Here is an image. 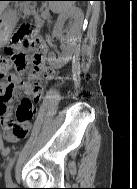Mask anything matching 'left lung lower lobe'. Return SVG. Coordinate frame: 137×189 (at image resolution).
<instances>
[{
    "label": "left lung lower lobe",
    "mask_w": 137,
    "mask_h": 189,
    "mask_svg": "<svg viewBox=\"0 0 137 189\" xmlns=\"http://www.w3.org/2000/svg\"><path fill=\"white\" fill-rule=\"evenodd\" d=\"M74 1H88V0H74Z\"/></svg>",
    "instance_id": "left-lung-lower-lobe-1"
}]
</instances>
